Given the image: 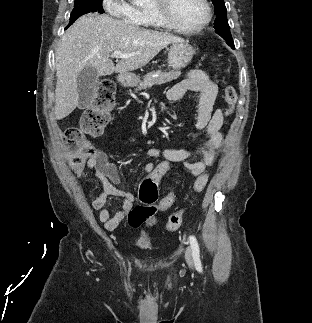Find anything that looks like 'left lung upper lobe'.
Returning a JSON list of instances; mask_svg holds the SVG:
<instances>
[{"label":"left lung upper lobe","instance_id":"1","mask_svg":"<svg viewBox=\"0 0 312 323\" xmlns=\"http://www.w3.org/2000/svg\"><path fill=\"white\" fill-rule=\"evenodd\" d=\"M215 6L216 20L214 22V28L216 33L222 36L229 46L234 48V42L230 33V27L227 20V10L224 0H211Z\"/></svg>","mask_w":312,"mask_h":323}]
</instances>
